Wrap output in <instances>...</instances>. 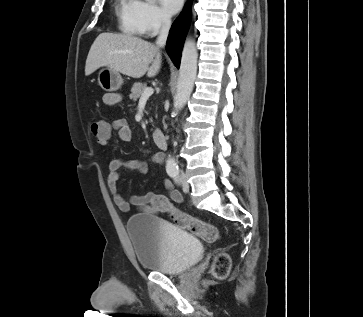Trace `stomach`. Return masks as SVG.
Wrapping results in <instances>:
<instances>
[{
  "instance_id": "1",
  "label": "stomach",
  "mask_w": 363,
  "mask_h": 317,
  "mask_svg": "<svg viewBox=\"0 0 363 317\" xmlns=\"http://www.w3.org/2000/svg\"><path fill=\"white\" fill-rule=\"evenodd\" d=\"M98 83L105 91H117L123 84V79L119 72L106 67L98 73Z\"/></svg>"
}]
</instances>
